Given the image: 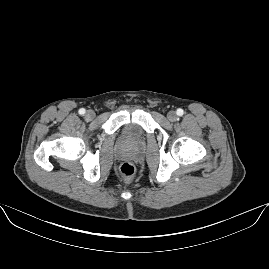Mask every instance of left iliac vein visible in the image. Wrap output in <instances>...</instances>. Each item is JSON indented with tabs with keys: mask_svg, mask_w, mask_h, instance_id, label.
<instances>
[{
	"mask_svg": "<svg viewBox=\"0 0 269 269\" xmlns=\"http://www.w3.org/2000/svg\"><path fill=\"white\" fill-rule=\"evenodd\" d=\"M167 118H168L169 121L175 122L177 120V115H176V113L174 111H170L167 114Z\"/></svg>",
	"mask_w": 269,
	"mask_h": 269,
	"instance_id": "left-iliac-vein-1",
	"label": "left iliac vein"
}]
</instances>
